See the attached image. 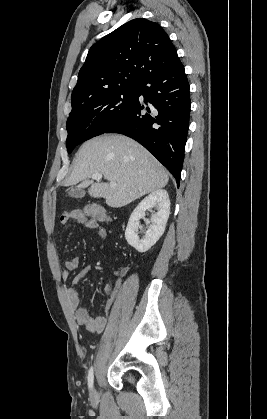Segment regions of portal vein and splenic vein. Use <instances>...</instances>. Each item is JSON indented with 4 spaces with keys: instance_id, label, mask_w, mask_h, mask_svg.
I'll list each match as a JSON object with an SVG mask.
<instances>
[{
    "instance_id": "1",
    "label": "portal vein and splenic vein",
    "mask_w": 267,
    "mask_h": 419,
    "mask_svg": "<svg viewBox=\"0 0 267 419\" xmlns=\"http://www.w3.org/2000/svg\"><path fill=\"white\" fill-rule=\"evenodd\" d=\"M91 178L94 179V180H100L102 178V174H100V173L93 174L91 176ZM110 186L111 187H115L116 186V183L115 182H110Z\"/></svg>"
}]
</instances>
